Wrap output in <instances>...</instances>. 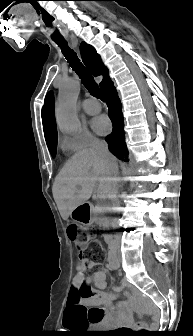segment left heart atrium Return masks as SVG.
Masks as SVG:
<instances>
[{
	"instance_id": "39dd6f15",
	"label": "left heart atrium",
	"mask_w": 193,
	"mask_h": 336,
	"mask_svg": "<svg viewBox=\"0 0 193 336\" xmlns=\"http://www.w3.org/2000/svg\"><path fill=\"white\" fill-rule=\"evenodd\" d=\"M92 127L98 134H106L111 129V122L107 116L101 115L93 119Z\"/></svg>"
}]
</instances>
